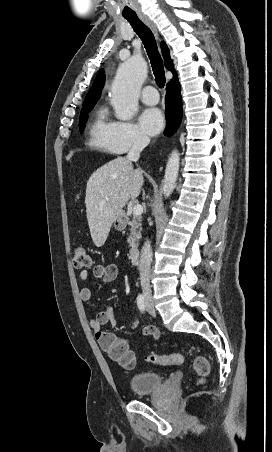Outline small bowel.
I'll use <instances>...</instances> for the list:
<instances>
[{
  "mask_svg": "<svg viewBox=\"0 0 272 452\" xmlns=\"http://www.w3.org/2000/svg\"><path fill=\"white\" fill-rule=\"evenodd\" d=\"M93 276L104 283H111L118 277V267L114 263L109 264H96L92 269ZM89 273L87 270L80 272V279L83 282H87ZM92 289L90 286H84L80 291V298L88 302L92 299ZM106 324H110L113 328L116 326L113 310L110 306L106 305L101 311H99L95 318L89 321V325L94 332L95 339L100 348L109 354L112 347L121 340L115 332L103 331L102 327ZM137 324V318L133 315L130 322L127 325L128 329L134 328ZM143 336H150L154 340L159 338V331L152 325H147L142 329Z\"/></svg>",
  "mask_w": 272,
  "mask_h": 452,
  "instance_id": "1",
  "label": "small bowel"
}]
</instances>
